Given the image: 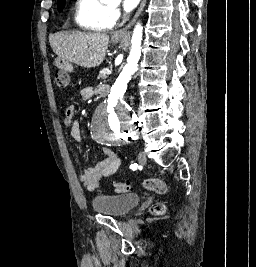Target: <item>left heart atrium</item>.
<instances>
[{"label": "left heart atrium", "mask_w": 256, "mask_h": 267, "mask_svg": "<svg viewBox=\"0 0 256 267\" xmlns=\"http://www.w3.org/2000/svg\"><path fill=\"white\" fill-rule=\"evenodd\" d=\"M131 0H123V7L126 11H129L131 9V5L129 4Z\"/></svg>", "instance_id": "obj_1"}]
</instances>
